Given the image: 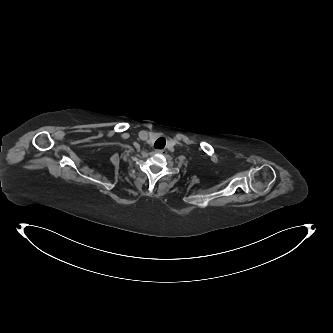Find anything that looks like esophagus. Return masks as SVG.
Here are the masks:
<instances>
[{
    "label": "esophagus",
    "mask_w": 333,
    "mask_h": 333,
    "mask_svg": "<svg viewBox=\"0 0 333 333\" xmlns=\"http://www.w3.org/2000/svg\"><path fill=\"white\" fill-rule=\"evenodd\" d=\"M164 149H156L155 152L158 153V154H162L164 153Z\"/></svg>",
    "instance_id": "obj_1"
}]
</instances>
